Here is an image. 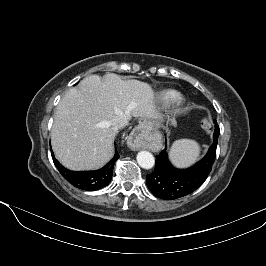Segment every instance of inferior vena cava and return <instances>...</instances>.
<instances>
[{"label": "inferior vena cava", "instance_id": "obj_1", "mask_svg": "<svg viewBox=\"0 0 266 266\" xmlns=\"http://www.w3.org/2000/svg\"><path fill=\"white\" fill-rule=\"evenodd\" d=\"M128 125V119L124 116H117L112 120V128L117 131Z\"/></svg>", "mask_w": 266, "mask_h": 266}]
</instances>
